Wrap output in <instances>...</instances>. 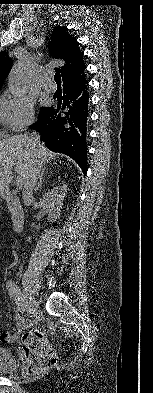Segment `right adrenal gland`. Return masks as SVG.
I'll list each match as a JSON object with an SVG mask.
<instances>
[{"instance_id": "2a0ac1e0", "label": "right adrenal gland", "mask_w": 153, "mask_h": 393, "mask_svg": "<svg viewBox=\"0 0 153 393\" xmlns=\"http://www.w3.org/2000/svg\"><path fill=\"white\" fill-rule=\"evenodd\" d=\"M47 174H49L48 170H46V171L43 170V171H42V174H41V177H40L38 186H37V188H36V192H37V193L41 191L42 185H43V182H44V177H43V176H44V175H47Z\"/></svg>"}]
</instances>
